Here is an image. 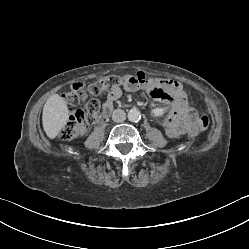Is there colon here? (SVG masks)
I'll return each instance as SVG.
<instances>
[{
	"label": "colon",
	"instance_id": "colon-1",
	"mask_svg": "<svg viewBox=\"0 0 249 249\" xmlns=\"http://www.w3.org/2000/svg\"><path fill=\"white\" fill-rule=\"evenodd\" d=\"M142 78H128L120 76H107L90 84L86 89L82 84L73 85L71 90L64 94V98L71 106H76L86 100L88 93L98 95L104 90H111L117 86L124 84L140 83ZM104 111V107L97 100H89L85 102L83 109H73L65 126L61 130L63 139H75L86 134L90 125L95 124L100 114ZM211 124L210 118L206 115L196 120V127L199 130L206 131Z\"/></svg>",
	"mask_w": 249,
	"mask_h": 249
}]
</instances>
